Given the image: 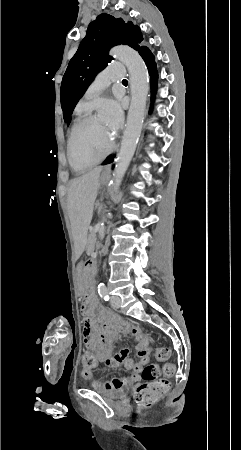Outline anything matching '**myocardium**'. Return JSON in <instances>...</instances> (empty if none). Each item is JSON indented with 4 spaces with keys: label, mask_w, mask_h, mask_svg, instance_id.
<instances>
[{
    "label": "myocardium",
    "mask_w": 241,
    "mask_h": 450,
    "mask_svg": "<svg viewBox=\"0 0 241 450\" xmlns=\"http://www.w3.org/2000/svg\"><path fill=\"white\" fill-rule=\"evenodd\" d=\"M73 120L75 122H73V124H72L73 127H72L71 132H70L71 136H69V138H68V141H69L70 144H68V146H67L68 147L67 157H70L69 160L72 163L76 162V160H77L76 159V155H75V151H74V148H73L74 147L73 144L75 143L76 140H78L77 136L80 134V131L78 129H76V128L81 124L82 119H81V116H74ZM108 155L109 154L106 153L105 158L108 157ZM104 160H98V162L102 163V162H104Z\"/></svg>",
    "instance_id": "f54148a6"
}]
</instances>
